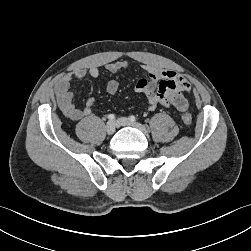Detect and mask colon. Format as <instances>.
Segmentation results:
<instances>
[{
	"mask_svg": "<svg viewBox=\"0 0 251 251\" xmlns=\"http://www.w3.org/2000/svg\"><path fill=\"white\" fill-rule=\"evenodd\" d=\"M182 121L186 125H190L192 123V116L190 114H183Z\"/></svg>",
	"mask_w": 251,
	"mask_h": 251,
	"instance_id": "colon-1",
	"label": "colon"
}]
</instances>
